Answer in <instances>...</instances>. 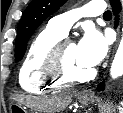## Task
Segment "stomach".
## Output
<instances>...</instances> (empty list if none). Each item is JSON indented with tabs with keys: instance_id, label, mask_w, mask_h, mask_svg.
<instances>
[{
	"instance_id": "stomach-1",
	"label": "stomach",
	"mask_w": 123,
	"mask_h": 113,
	"mask_svg": "<svg viewBox=\"0 0 123 113\" xmlns=\"http://www.w3.org/2000/svg\"><path fill=\"white\" fill-rule=\"evenodd\" d=\"M78 101L81 103V105H88L92 101V97L80 94L78 95ZM10 111L11 113L12 112L27 113L26 110L20 104L15 102H11Z\"/></svg>"
}]
</instances>
